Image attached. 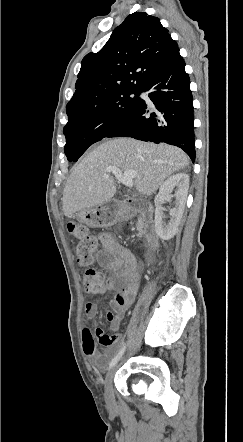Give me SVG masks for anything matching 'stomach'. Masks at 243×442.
<instances>
[{
    "label": "stomach",
    "instance_id": "0dacf381",
    "mask_svg": "<svg viewBox=\"0 0 243 442\" xmlns=\"http://www.w3.org/2000/svg\"><path fill=\"white\" fill-rule=\"evenodd\" d=\"M76 215L82 223L90 227H109L117 222L119 213L106 202L93 208L82 209Z\"/></svg>",
    "mask_w": 243,
    "mask_h": 442
}]
</instances>
